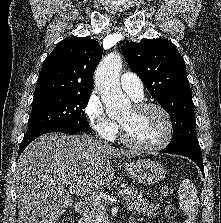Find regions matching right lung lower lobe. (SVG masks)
I'll return each instance as SVG.
<instances>
[{
  "mask_svg": "<svg viewBox=\"0 0 221 223\" xmlns=\"http://www.w3.org/2000/svg\"><path fill=\"white\" fill-rule=\"evenodd\" d=\"M50 132H63V133H67V134H75L79 131L74 130V129H69V128L55 127V128L42 129V130L36 131L31 134H25L24 138L20 144V147H19L18 156L24 151V149L28 146V144L30 142H32L37 137H39L45 133H50Z\"/></svg>",
  "mask_w": 221,
  "mask_h": 223,
  "instance_id": "right-lung-lower-lobe-1",
  "label": "right lung lower lobe"
}]
</instances>
